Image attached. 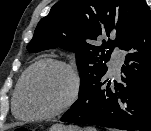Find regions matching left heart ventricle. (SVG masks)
<instances>
[{"label": "left heart ventricle", "instance_id": "1", "mask_svg": "<svg viewBox=\"0 0 151 131\" xmlns=\"http://www.w3.org/2000/svg\"><path fill=\"white\" fill-rule=\"evenodd\" d=\"M70 88L69 77L56 66L35 70L28 78L20 107L25 114H43L56 109L66 98Z\"/></svg>", "mask_w": 151, "mask_h": 131}]
</instances>
